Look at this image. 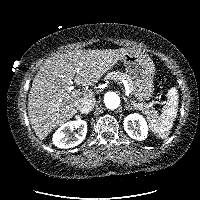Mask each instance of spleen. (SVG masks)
I'll return each instance as SVG.
<instances>
[{"label": "spleen", "mask_w": 200, "mask_h": 200, "mask_svg": "<svg viewBox=\"0 0 200 200\" xmlns=\"http://www.w3.org/2000/svg\"><path fill=\"white\" fill-rule=\"evenodd\" d=\"M177 112L178 91L176 88H171L168 91V99L166 105L162 109L161 115L149 120L151 131L159 138H166L172 129Z\"/></svg>", "instance_id": "spleen-1"}]
</instances>
